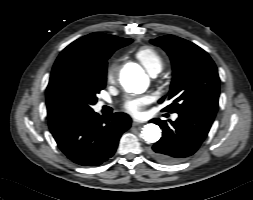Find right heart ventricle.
I'll return each instance as SVG.
<instances>
[{
    "label": "right heart ventricle",
    "instance_id": "e07e8e85",
    "mask_svg": "<svg viewBox=\"0 0 253 200\" xmlns=\"http://www.w3.org/2000/svg\"><path fill=\"white\" fill-rule=\"evenodd\" d=\"M135 57L151 75L161 72L165 65L162 55L149 46L139 48L135 53Z\"/></svg>",
    "mask_w": 253,
    "mask_h": 200
}]
</instances>
